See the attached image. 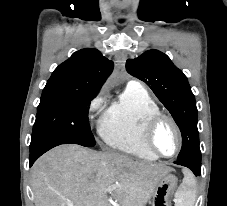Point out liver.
Instances as JSON below:
<instances>
[{
    "instance_id": "6515ba94",
    "label": "liver",
    "mask_w": 227,
    "mask_h": 206,
    "mask_svg": "<svg viewBox=\"0 0 227 206\" xmlns=\"http://www.w3.org/2000/svg\"><path fill=\"white\" fill-rule=\"evenodd\" d=\"M172 169L75 144L42 155L31 169L35 206H110L113 192L122 206H143ZM115 186L112 191L108 187Z\"/></svg>"
}]
</instances>
